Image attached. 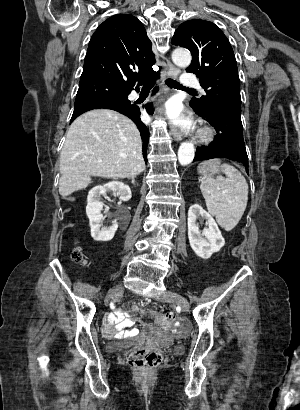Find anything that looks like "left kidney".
<instances>
[{"instance_id": "left-kidney-1", "label": "left kidney", "mask_w": 300, "mask_h": 410, "mask_svg": "<svg viewBox=\"0 0 300 410\" xmlns=\"http://www.w3.org/2000/svg\"><path fill=\"white\" fill-rule=\"evenodd\" d=\"M200 217L206 220L208 226L202 232L196 224ZM188 238L195 254L203 259L210 258L225 244L217 223L199 204H193L188 210Z\"/></svg>"}]
</instances>
